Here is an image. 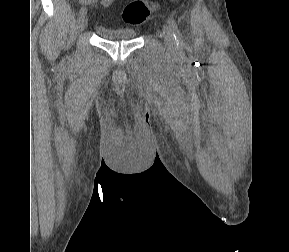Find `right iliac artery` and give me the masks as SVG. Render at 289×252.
<instances>
[{"label": "right iliac artery", "instance_id": "1", "mask_svg": "<svg viewBox=\"0 0 289 252\" xmlns=\"http://www.w3.org/2000/svg\"><path fill=\"white\" fill-rule=\"evenodd\" d=\"M87 13V8L86 7H82L79 11V15H83Z\"/></svg>", "mask_w": 289, "mask_h": 252}]
</instances>
